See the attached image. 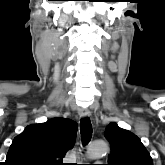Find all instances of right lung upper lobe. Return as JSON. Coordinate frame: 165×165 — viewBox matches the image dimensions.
Masks as SVG:
<instances>
[{"label":"right lung upper lobe","instance_id":"right-lung-upper-lobe-1","mask_svg":"<svg viewBox=\"0 0 165 165\" xmlns=\"http://www.w3.org/2000/svg\"><path fill=\"white\" fill-rule=\"evenodd\" d=\"M76 132V123L64 118L29 125L14 138L4 165H63V157L75 144Z\"/></svg>","mask_w":165,"mask_h":165}]
</instances>
